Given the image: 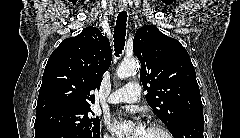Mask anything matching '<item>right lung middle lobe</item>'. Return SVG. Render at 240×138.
<instances>
[{
    "label": "right lung middle lobe",
    "mask_w": 240,
    "mask_h": 138,
    "mask_svg": "<svg viewBox=\"0 0 240 138\" xmlns=\"http://www.w3.org/2000/svg\"><path fill=\"white\" fill-rule=\"evenodd\" d=\"M90 107L64 108L36 115L35 130L63 128L86 138L100 137V121Z\"/></svg>",
    "instance_id": "obj_1"
}]
</instances>
